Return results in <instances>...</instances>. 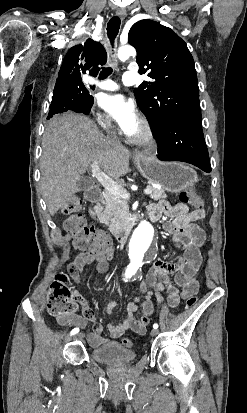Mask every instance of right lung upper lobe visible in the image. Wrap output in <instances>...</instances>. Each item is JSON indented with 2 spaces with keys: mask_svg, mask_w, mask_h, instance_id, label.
Listing matches in <instances>:
<instances>
[{
  "mask_svg": "<svg viewBox=\"0 0 247 413\" xmlns=\"http://www.w3.org/2000/svg\"><path fill=\"white\" fill-rule=\"evenodd\" d=\"M106 58L104 47L92 39H88L84 45H76L66 54L56 83L81 81V72L86 73L88 70L97 74L98 65H104ZM79 60H84V64L79 65Z\"/></svg>",
  "mask_w": 247,
  "mask_h": 413,
  "instance_id": "right-lung-upper-lobe-1",
  "label": "right lung upper lobe"
}]
</instances>
